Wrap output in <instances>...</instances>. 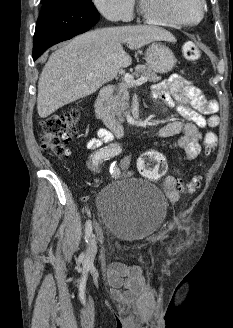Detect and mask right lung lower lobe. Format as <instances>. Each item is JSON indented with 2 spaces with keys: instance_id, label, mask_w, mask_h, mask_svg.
Returning a JSON list of instances; mask_svg holds the SVG:
<instances>
[{
  "instance_id": "right-lung-lower-lobe-1",
  "label": "right lung lower lobe",
  "mask_w": 233,
  "mask_h": 328,
  "mask_svg": "<svg viewBox=\"0 0 233 328\" xmlns=\"http://www.w3.org/2000/svg\"><path fill=\"white\" fill-rule=\"evenodd\" d=\"M98 20L99 13L96 8L42 4L34 34L33 59L36 60L52 45L87 31Z\"/></svg>"
}]
</instances>
